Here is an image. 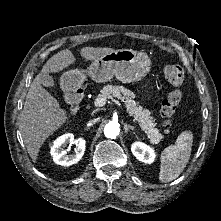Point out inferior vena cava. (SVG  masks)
Wrapping results in <instances>:
<instances>
[{
    "label": "inferior vena cava",
    "mask_w": 221,
    "mask_h": 221,
    "mask_svg": "<svg viewBox=\"0 0 221 221\" xmlns=\"http://www.w3.org/2000/svg\"><path fill=\"white\" fill-rule=\"evenodd\" d=\"M98 120H99L98 118H97V119L90 120V121L88 122L87 126H91V125L95 124Z\"/></svg>",
    "instance_id": "1"
}]
</instances>
